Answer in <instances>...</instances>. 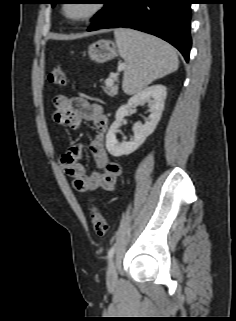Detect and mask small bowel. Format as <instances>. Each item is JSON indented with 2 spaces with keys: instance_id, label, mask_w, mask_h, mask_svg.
<instances>
[{
  "instance_id": "obj_1",
  "label": "small bowel",
  "mask_w": 236,
  "mask_h": 321,
  "mask_svg": "<svg viewBox=\"0 0 236 321\" xmlns=\"http://www.w3.org/2000/svg\"><path fill=\"white\" fill-rule=\"evenodd\" d=\"M53 108L52 117L56 124L79 129L83 122H90L96 131L89 150L98 171L87 173L79 161L84 149L82 144L71 146L59 155L60 166L73 179L75 190L79 193L96 189L113 190L122 173V166L112 161L105 149L109 122L102 107L82 97L58 95L53 99Z\"/></svg>"
}]
</instances>
